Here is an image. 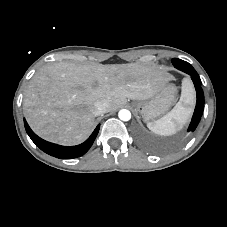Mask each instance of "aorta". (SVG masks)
<instances>
[{"instance_id":"762f6f07","label":"aorta","mask_w":227,"mask_h":227,"mask_svg":"<svg viewBox=\"0 0 227 227\" xmlns=\"http://www.w3.org/2000/svg\"><path fill=\"white\" fill-rule=\"evenodd\" d=\"M118 117L122 121H129L131 119V112L127 109H122L119 111Z\"/></svg>"}]
</instances>
